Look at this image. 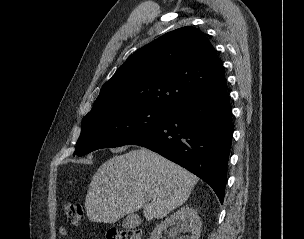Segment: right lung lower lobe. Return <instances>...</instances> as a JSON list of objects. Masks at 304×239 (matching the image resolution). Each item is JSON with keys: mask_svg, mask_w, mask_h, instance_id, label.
<instances>
[{"mask_svg": "<svg viewBox=\"0 0 304 239\" xmlns=\"http://www.w3.org/2000/svg\"><path fill=\"white\" fill-rule=\"evenodd\" d=\"M231 105L224 80L169 111L164 122L129 142L159 153L208 183L223 202L232 143Z\"/></svg>", "mask_w": 304, "mask_h": 239, "instance_id": "1", "label": "right lung lower lobe"}]
</instances>
